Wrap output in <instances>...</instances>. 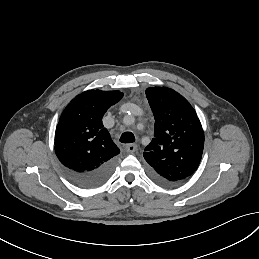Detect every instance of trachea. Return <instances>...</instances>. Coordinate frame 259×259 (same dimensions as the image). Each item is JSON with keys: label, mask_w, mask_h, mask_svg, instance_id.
Here are the masks:
<instances>
[{"label": "trachea", "mask_w": 259, "mask_h": 259, "mask_svg": "<svg viewBox=\"0 0 259 259\" xmlns=\"http://www.w3.org/2000/svg\"><path fill=\"white\" fill-rule=\"evenodd\" d=\"M121 143H133L135 142V136L132 132H124L120 137Z\"/></svg>", "instance_id": "obj_1"}]
</instances>
